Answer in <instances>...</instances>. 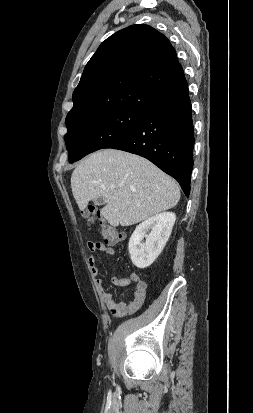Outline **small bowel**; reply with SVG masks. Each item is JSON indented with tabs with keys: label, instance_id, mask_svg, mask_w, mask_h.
I'll return each instance as SVG.
<instances>
[{
	"label": "small bowel",
	"instance_id": "1",
	"mask_svg": "<svg viewBox=\"0 0 253 413\" xmlns=\"http://www.w3.org/2000/svg\"><path fill=\"white\" fill-rule=\"evenodd\" d=\"M88 250L92 253L100 251L107 254L110 257L114 255L113 248L107 246L106 244L100 241L89 242ZM89 266L91 273L95 277H98L99 268L97 260L94 256H90ZM104 282L105 280L102 278L96 279L101 299L114 317H124L127 315H131L138 311L143 305L147 293V283L143 280H140L138 276L132 275L131 277H120L118 275H114L111 278V283L119 287H126L129 286L132 282L135 283L134 292L131 300L129 301H117L111 292H108L104 289Z\"/></svg>",
	"mask_w": 253,
	"mask_h": 413
}]
</instances>
